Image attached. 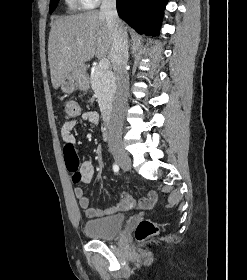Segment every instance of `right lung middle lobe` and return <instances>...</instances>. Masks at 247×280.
<instances>
[{
  "mask_svg": "<svg viewBox=\"0 0 247 280\" xmlns=\"http://www.w3.org/2000/svg\"><path fill=\"white\" fill-rule=\"evenodd\" d=\"M57 1H58V0H51V2H50V13L53 12Z\"/></svg>",
  "mask_w": 247,
  "mask_h": 280,
  "instance_id": "right-lung-middle-lobe-1",
  "label": "right lung middle lobe"
}]
</instances>
